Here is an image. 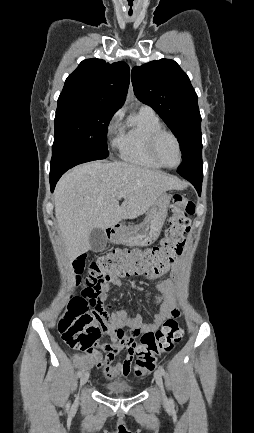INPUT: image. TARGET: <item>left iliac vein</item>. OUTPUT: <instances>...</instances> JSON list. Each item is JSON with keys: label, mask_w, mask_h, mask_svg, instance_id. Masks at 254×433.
Listing matches in <instances>:
<instances>
[{"label": "left iliac vein", "mask_w": 254, "mask_h": 433, "mask_svg": "<svg viewBox=\"0 0 254 433\" xmlns=\"http://www.w3.org/2000/svg\"><path fill=\"white\" fill-rule=\"evenodd\" d=\"M155 381H156V384H157V386L159 387V389L161 390V393H162V396H163V399L165 400L166 399V396H165V392H164V385H163V379H162V374H161V372L159 371V370H157L156 372H155Z\"/></svg>", "instance_id": "obj_1"}]
</instances>
